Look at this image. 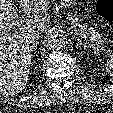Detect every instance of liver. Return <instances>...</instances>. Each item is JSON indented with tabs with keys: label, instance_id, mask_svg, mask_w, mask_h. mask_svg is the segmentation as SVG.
<instances>
[{
	"label": "liver",
	"instance_id": "1",
	"mask_svg": "<svg viewBox=\"0 0 113 113\" xmlns=\"http://www.w3.org/2000/svg\"><path fill=\"white\" fill-rule=\"evenodd\" d=\"M14 2L29 14L20 25ZM47 7L46 0H0V92L14 95L25 88L35 44L34 31L50 26Z\"/></svg>",
	"mask_w": 113,
	"mask_h": 113
}]
</instances>
